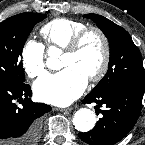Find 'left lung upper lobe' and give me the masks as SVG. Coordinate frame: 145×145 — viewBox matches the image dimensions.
<instances>
[{
  "instance_id": "obj_1",
  "label": "left lung upper lobe",
  "mask_w": 145,
  "mask_h": 145,
  "mask_svg": "<svg viewBox=\"0 0 145 145\" xmlns=\"http://www.w3.org/2000/svg\"><path fill=\"white\" fill-rule=\"evenodd\" d=\"M84 17L97 24L108 38L110 46L108 71L90 94H101L116 87L144 91L142 57L127 31L101 15L86 14Z\"/></svg>"
}]
</instances>
